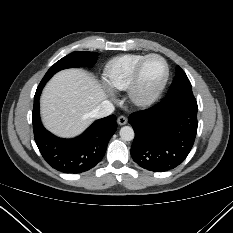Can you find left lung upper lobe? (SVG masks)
<instances>
[{
  "mask_svg": "<svg viewBox=\"0 0 233 233\" xmlns=\"http://www.w3.org/2000/svg\"><path fill=\"white\" fill-rule=\"evenodd\" d=\"M177 96L194 97L191 83L185 72L179 66H176V75L164 99L166 100Z\"/></svg>",
  "mask_w": 233,
  "mask_h": 233,
  "instance_id": "obj_1",
  "label": "left lung upper lobe"
}]
</instances>
